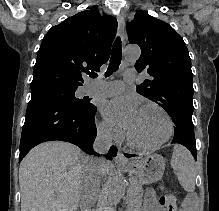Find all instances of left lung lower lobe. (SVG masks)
Instances as JSON below:
<instances>
[{"label": "left lung lower lobe", "instance_id": "obj_1", "mask_svg": "<svg viewBox=\"0 0 219 211\" xmlns=\"http://www.w3.org/2000/svg\"><path fill=\"white\" fill-rule=\"evenodd\" d=\"M172 143H178L187 147L195 160L197 159V151L195 145L194 130H176ZM126 157H134L133 154H125Z\"/></svg>", "mask_w": 219, "mask_h": 211}]
</instances>
